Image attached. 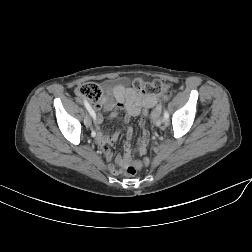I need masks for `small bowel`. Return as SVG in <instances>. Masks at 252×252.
Segmentation results:
<instances>
[{
    "label": "small bowel",
    "mask_w": 252,
    "mask_h": 252,
    "mask_svg": "<svg viewBox=\"0 0 252 252\" xmlns=\"http://www.w3.org/2000/svg\"><path fill=\"white\" fill-rule=\"evenodd\" d=\"M168 95L160 94L147 95L142 94L131 87H125L124 85H117L113 89H108L106 95L102 100L94 106L97 111L96 121H94L95 130L97 131L96 142L103 147V152L107 159H111L113 154L108 145L113 144L118 139V132L104 133L100 129V124L103 121V117L100 113L101 110L109 112L111 118L118 116V111H125L123 118L124 123H128L130 117L139 116L141 113L147 114V111L152 108L159 100H166ZM141 128V137L137 146V153L139 155L145 154L149 142V132L146 128V121L141 118L139 121ZM133 136V130L128 127L126 130V141L124 144V154L118 156L116 162L110 165V171L119 175L122 173L126 165L131 162L134 158V150L131 145V138ZM143 164H148V160L144 158Z\"/></svg>",
    "instance_id": "c3829d8e"
}]
</instances>
